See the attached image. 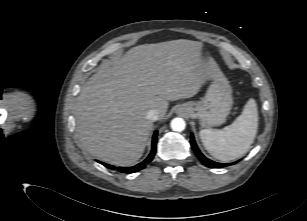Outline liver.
<instances>
[{"instance_id":"6515ba94","label":"liver","mask_w":307,"mask_h":221,"mask_svg":"<svg viewBox=\"0 0 307 221\" xmlns=\"http://www.w3.org/2000/svg\"><path fill=\"white\" fill-rule=\"evenodd\" d=\"M202 49L201 42L183 39L140 45L93 74L76 102L83 146L109 164H134L153 128L148 112L158 110L163 120L169 101L193 97L207 79L222 74Z\"/></svg>"}]
</instances>
